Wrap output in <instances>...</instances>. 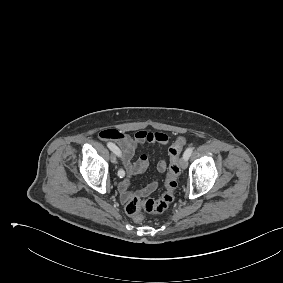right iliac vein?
<instances>
[{
  "mask_svg": "<svg viewBox=\"0 0 283 283\" xmlns=\"http://www.w3.org/2000/svg\"><path fill=\"white\" fill-rule=\"evenodd\" d=\"M110 160H111V162H112L113 164H115V163L117 162V158H116V156H115L114 154H111Z\"/></svg>",
  "mask_w": 283,
  "mask_h": 283,
  "instance_id": "right-iliac-vein-1",
  "label": "right iliac vein"
}]
</instances>
